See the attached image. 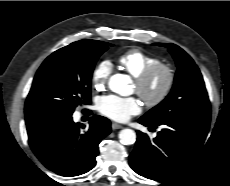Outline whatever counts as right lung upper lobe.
I'll use <instances>...</instances> for the list:
<instances>
[{
	"label": "right lung upper lobe",
	"mask_w": 230,
	"mask_h": 186,
	"mask_svg": "<svg viewBox=\"0 0 230 186\" xmlns=\"http://www.w3.org/2000/svg\"><path fill=\"white\" fill-rule=\"evenodd\" d=\"M25 115H26V117L31 116V115H29V114H25Z\"/></svg>",
	"instance_id": "obj_1"
}]
</instances>
